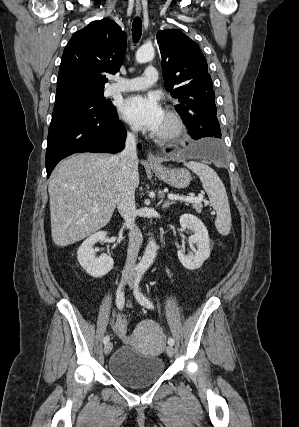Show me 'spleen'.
Returning <instances> with one entry per match:
<instances>
[{
  "label": "spleen",
  "instance_id": "spleen-1",
  "mask_svg": "<svg viewBox=\"0 0 299 427\" xmlns=\"http://www.w3.org/2000/svg\"><path fill=\"white\" fill-rule=\"evenodd\" d=\"M199 176L211 206L217 213L215 226L221 235H228L231 228V213L225 186L217 173L208 165L190 161L184 164Z\"/></svg>",
  "mask_w": 299,
  "mask_h": 427
}]
</instances>
